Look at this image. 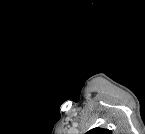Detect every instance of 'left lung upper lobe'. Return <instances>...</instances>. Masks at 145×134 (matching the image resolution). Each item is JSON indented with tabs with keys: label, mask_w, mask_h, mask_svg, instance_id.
Returning a JSON list of instances; mask_svg holds the SVG:
<instances>
[{
	"label": "left lung upper lobe",
	"mask_w": 145,
	"mask_h": 134,
	"mask_svg": "<svg viewBox=\"0 0 145 134\" xmlns=\"http://www.w3.org/2000/svg\"><path fill=\"white\" fill-rule=\"evenodd\" d=\"M87 134H111L108 129L94 128L87 132Z\"/></svg>",
	"instance_id": "5c2ea615"
}]
</instances>
